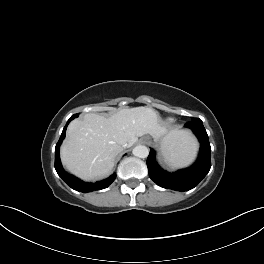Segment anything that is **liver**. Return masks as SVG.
Listing matches in <instances>:
<instances>
[{
	"instance_id": "1",
	"label": "liver",
	"mask_w": 264,
	"mask_h": 264,
	"mask_svg": "<svg viewBox=\"0 0 264 264\" xmlns=\"http://www.w3.org/2000/svg\"><path fill=\"white\" fill-rule=\"evenodd\" d=\"M158 114L149 107L122 109L109 118L88 113L73 120L61 147V161L74 175L94 180L108 175L123 147H131L145 134L155 140L166 135ZM177 132L163 138L173 141Z\"/></svg>"
}]
</instances>
